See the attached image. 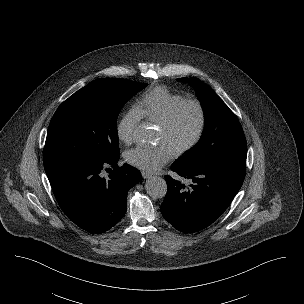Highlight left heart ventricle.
<instances>
[{
	"label": "left heart ventricle",
	"instance_id": "left-heart-ventricle-1",
	"mask_svg": "<svg viewBox=\"0 0 304 304\" xmlns=\"http://www.w3.org/2000/svg\"><path fill=\"white\" fill-rule=\"evenodd\" d=\"M197 124L198 114L196 109L191 105L186 106L180 111L169 132H165L161 128L159 129L158 143L160 145H168L175 150L192 138L196 131Z\"/></svg>",
	"mask_w": 304,
	"mask_h": 304
}]
</instances>
